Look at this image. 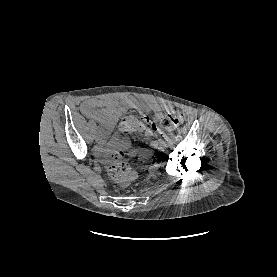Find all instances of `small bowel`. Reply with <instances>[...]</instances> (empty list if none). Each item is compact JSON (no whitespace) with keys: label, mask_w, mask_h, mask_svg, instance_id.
Wrapping results in <instances>:
<instances>
[{"label":"small bowel","mask_w":277,"mask_h":277,"mask_svg":"<svg viewBox=\"0 0 277 277\" xmlns=\"http://www.w3.org/2000/svg\"><path fill=\"white\" fill-rule=\"evenodd\" d=\"M129 107L137 108L141 107V105L132 100H122L119 102L109 98H88L82 102L80 106L81 112L86 117L102 125L98 136V151H102L106 137L113 130L119 116ZM148 107L154 113L156 120L160 119L163 113L167 111V107L160 104H150ZM147 134L153 136L154 132L150 130Z\"/></svg>","instance_id":"small-bowel-1"}]
</instances>
